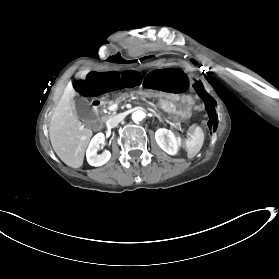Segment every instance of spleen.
<instances>
[{"label":"spleen","mask_w":279,"mask_h":279,"mask_svg":"<svg viewBox=\"0 0 279 279\" xmlns=\"http://www.w3.org/2000/svg\"><path fill=\"white\" fill-rule=\"evenodd\" d=\"M193 141L186 143V152L189 159L193 158L202 149L203 145V131L202 128H194V134H191Z\"/></svg>","instance_id":"obj_1"}]
</instances>
